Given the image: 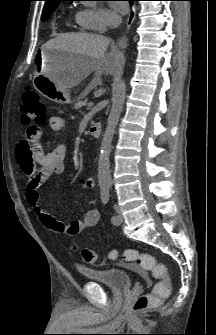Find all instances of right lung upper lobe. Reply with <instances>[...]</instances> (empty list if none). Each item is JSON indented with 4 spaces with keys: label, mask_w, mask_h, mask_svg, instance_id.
I'll use <instances>...</instances> for the list:
<instances>
[{
    "label": "right lung upper lobe",
    "mask_w": 216,
    "mask_h": 335,
    "mask_svg": "<svg viewBox=\"0 0 216 335\" xmlns=\"http://www.w3.org/2000/svg\"><path fill=\"white\" fill-rule=\"evenodd\" d=\"M45 1H46L45 6H47V5L59 4L63 0H45Z\"/></svg>",
    "instance_id": "right-lung-upper-lobe-1"
}]
</instances>
